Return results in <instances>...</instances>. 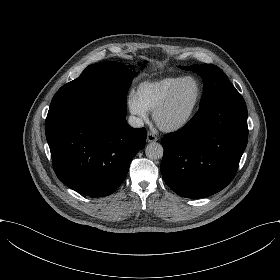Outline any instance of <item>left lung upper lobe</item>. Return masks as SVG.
I'll return each mask as SVG.
<instances>
[{
	"instance_id": "obj_1",
	"label": "left lung upper lobe",
	"mask_w": 280,
	"mask_h": 280,
	"mask_svg": "<svg viewBox=\"0 0 280 280\" xmlns=\"http://www.w3.org/2000/svg\"><path fill=\"white\" fill-rule=\"evenodd\" d=\"M181 69L194 71L203 79V95L200 101V108H204L217 100L237 94L238 91L230 83L226 74L216 65L202 64L189 67L180 66Z\"/></svg>"
}]
</instances>
